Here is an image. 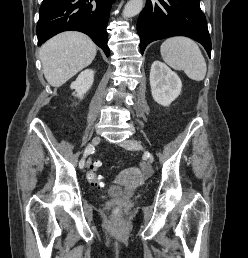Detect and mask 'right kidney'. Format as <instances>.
Instances as JSON below:
<instances>
[{
  "instance_id": "ca27d5eb",
  "label": "right kidney",
  "mask_w": 248,
  "mask_h": 258,
  "mask_svg": "<svg viewBox=\"0 0 248 258\" xmlns=\"http://www.w3.org/2000/svg\"><path fill=\"white\" fill-rule=\"evenodd\" d=\"M93 81L94 71L86 69L80 73L77 79L70 85V88L75 90V96L82 99L84 94L91 88Z\"/></svg>"
}]
</instances>
